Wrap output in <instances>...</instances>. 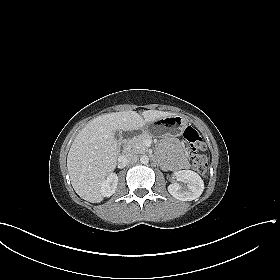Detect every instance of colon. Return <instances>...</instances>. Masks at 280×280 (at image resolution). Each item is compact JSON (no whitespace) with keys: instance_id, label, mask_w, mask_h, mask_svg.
<instances>
[{"instance_id":"1","label":"colon","mask_w":280,"mask_h":280,"mask_svg":"<svg viewBox=\"0 0 280 280\" xmlns=\"http://www.w3.org/2000/svg\"><path fill=\"white\" fill-rule=\"evenodd\" d=\"M184 139L191 147L190 160L192 167L201 175L206 174L208 163L202 152L206 149V145L195 128L188 126L183 133Z\"/></svg>"}]
</instances>
